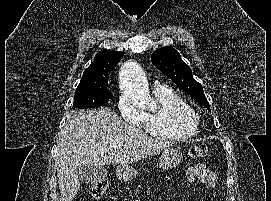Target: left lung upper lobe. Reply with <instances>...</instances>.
Here are the masks:
<instances>
[{
	"label": "left lung upper lobe",
	"mask_w": 271,
	"mask_h": 201,
	"mask_svg": "<svg viewBox=\"0 0 271 201\" xmlns=\"http://www.w3.org/2000/svg\"><path fill=\"white\" fill-rule=\"evenodd\" d=\"M151 60L156 68L210 111L202 85L193 78L191 68L181 59L177 50L162 47L153 52Z\"/></svg>",
	"instance_id": "1"
}]
</instances>
